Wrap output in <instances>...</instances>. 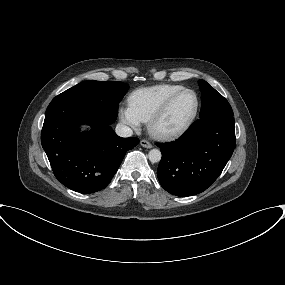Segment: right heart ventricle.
Segmentation results:
<instances>
[{"label": "right heart ventricle", "mask_w": 285, "mask_h": 285, "mask_svg": "<svg viewBox=\"0 0 285 285\" xmlns=\"http://www.w3.org/2000/svg\"><path fill=\"white\" fill-rule=\"evenodd\" d=\"M183 88L180 85L172 84L140 88L130 94L129 106L141 122H148L151 116L171 95Z\"/></svg>", "instance_id": "1"}]
</instances>
